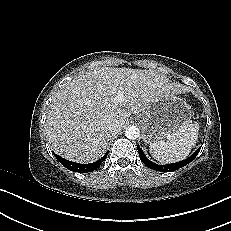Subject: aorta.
<instances>
[{"label": "aorta", "instance_id": "762f6f07", "mask_svg": "<svg viewBox=\"0 0 231 231\" xmlns=\"http://www.w3.org/2000/svg\"><path fill=\"white\" fill-rule=\"evenodd\" d=\"M125 136L130 140H135L140 136V130L136 126H128L125 131Z\"/></svg>", "mask_w": 231, "mask_h": 231}]
</instances>
